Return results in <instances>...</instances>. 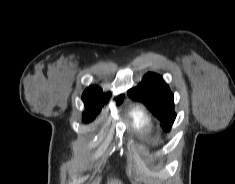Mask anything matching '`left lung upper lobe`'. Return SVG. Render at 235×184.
<instances>
[{"instance_id": "obj_1", "label": "left lung upper lobe", "mask_w": 235, "mask_h": 184, "mask_svg": "<svg viewBox=\"0 0 235 184\" xmlns=\"http://www.w3.org/2000/svg\"><path fill=\"white\" fill-rule=\"evenodd\" d=\"M131 98L143 102L161 121L164 130H170L176 118L173 93L158 74L149 72L140 85L128 91Z\"/></svg>"}]
</instances>
